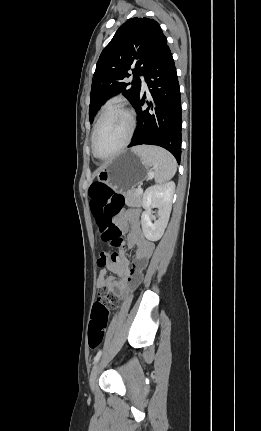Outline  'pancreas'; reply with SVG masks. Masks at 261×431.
<instances>
[{
    "label": "pancreas",
    "instance_id": "1",
    "mask_svg": "<svg viewBox=\"0 0 261 431\" xmlns=\"http://www.w3.org/2000/svg\"><path fill=\"white\" fill-rule=\"evenodd\" d=\"M142 193H138L137 189L127 191L125 193V204L129 207H140L142 205Z\"/></svg>",
    "mask_w": 261,
    "mask_h": 431
}]
</instances>
